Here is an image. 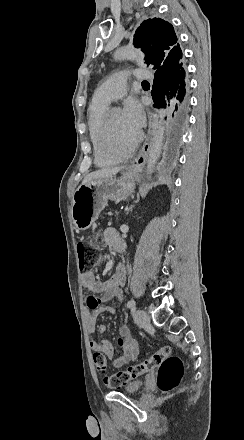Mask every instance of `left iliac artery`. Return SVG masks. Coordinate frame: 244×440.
<instances>
[{
	"label": "left iliac artery",
	"mask_w": 244,
	"mask_h": 440,
	"mask_svg": "<svg viewBox=\"0 0 244 440\" xmlns=\"http://www.w3.org/2000/svg\"><path fill=\"white\" fill-rule=\"evenodd\" d=\"M135 307H136V303H135V301L134 300H130V301H128V303H127V308H130V309H135Z\"/></svg>",
	"instance_id": "44dca946"
}]
</instances>
